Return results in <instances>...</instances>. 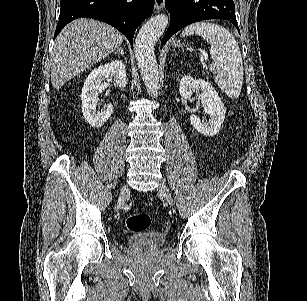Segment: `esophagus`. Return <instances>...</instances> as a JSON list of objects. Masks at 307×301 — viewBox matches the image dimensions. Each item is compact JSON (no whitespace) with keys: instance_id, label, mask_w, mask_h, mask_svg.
Returning <instances> with one entry per match:
<instances>
[{"instance_id":"1","label":"esophagus","mask_w":307,"mask_h":301,"mask_svg":"<svg viewBox=\"0 0 307 301\" xmlns=\"http://www.w3.org/2000/svg\"><path fill=\"white\" fill-rule=\"evenodd\" d=\"M165 5V0H155V9L161 10Z\"/></svg>"}]
</instances>
